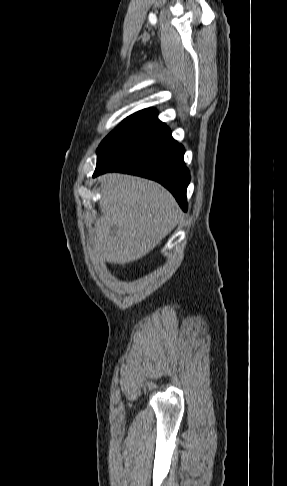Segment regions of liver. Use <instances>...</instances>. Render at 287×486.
<instances>
[{
    "label": "liver",
    "instance_id": "liver-1",
    "mask_svg": "<svg viewBox=\"0 0 287 486\" xmlns=\"http://www.w3.org/2000/svg\"><path fill=\"white\" fill-rule=\"evenodd\" d=\"M99 181L101 216L95 222L94 251L108 263L141 259L177 225L180 209L161 185L120 173L104 174Z\"/></svg>",
    "mask_w": 287,
    "mask_h": 486
}]
</instances>
